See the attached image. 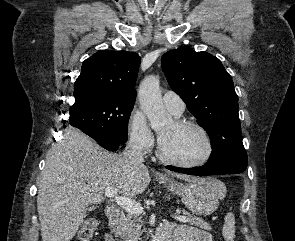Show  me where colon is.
<instances>
[{"label":"colon","instance_id":"1","mask_svg":"<svg viewBox=\"0 0 295 241\" xmlns=\"http://www.w3.org/2000/svg\"><path fill=\"white\" fill-rule=\"evenodd\" d=\"M97 227V222L93 219H88L82 225L79 232V239L81 241H91Z\"/></svg>","mask_w":295,"mask_h":241}]
</instances>
